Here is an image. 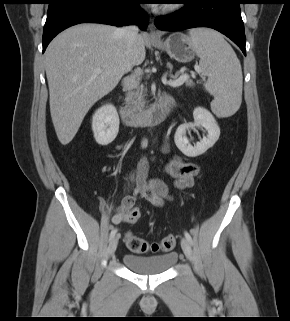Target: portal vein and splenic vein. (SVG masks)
<instances>
[{"label":"portal vein and splenic vein","mask_w":290,"mask_h":321,"mask_svg":"<svg viewBox=\"0 0 290 321\" xmlns=\"http://www.w3.org/2000/svg\"><path fill=\"white\" fill-rule=\"evenodd\" d=\"M101 72H102L101 68H97L94 70V74H99ZM188 79H189V75L183 74L174 81H168V84L173 87H178V86H181Z\"/></svg>","instance_id":"portal-vein-and-splenic-vein-1"}]
</instances>
